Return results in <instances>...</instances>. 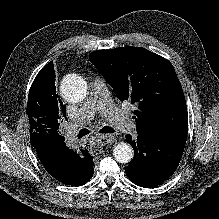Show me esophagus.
<instances>
[{
	"label": "esophagus",
	"mask_w": 219,
	"mask_h": 219,
	"mask_svg": "<svg viewBox=\"0 0 219 219\" xmlns=\"http://www.w3.org/2000/svg\"><path fill=\"white\" fill-rule=\"evenodd\" d=\"M115 139V137L113 135H101L98 137V143L101 146H104L106 144H109L111 142H113Z\"/></svg>",
	"instance_id": "34e87169"
}]
</instances>
